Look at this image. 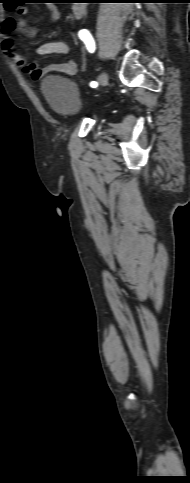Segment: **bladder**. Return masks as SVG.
Listing matches in <instances>:
<instances>
[{"instance_id":"31cf9c89","label":"bladder","mask_w":190,"mask_h":483,"mask_svg":"<svg viewBox=\"0 0 190 483\" xmlns=\"http://www.w3.org/2000/svg\"><path fill=\"white\" fill-rule=\"evenodd\" d=\"M41 88L45 100L56 113L67 118L79 115L82 94L73 80L50 74L43 79Z\"/></svg>"}]
</instances>
